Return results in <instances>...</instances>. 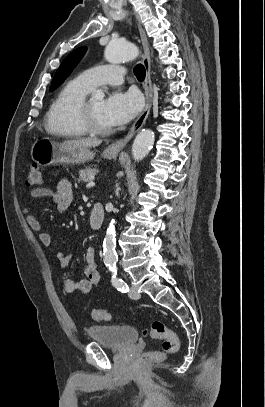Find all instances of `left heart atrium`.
I'll use <instances>...</instances> for the list:
<instances>
[{"label":"left heart atrium","mask_w":265,"mask_h":407,"mask_svg":"<svg viewBox=\"0 0 265 407\" xmlns=\"http://www.w3.org/2000/svg\"><path fill=\"white\" fill-rule=\"evenodd\" d=\"M142 100L134 91L112 93L104 102V116L111 126L123 125L140 111Z\"/></svg>","instance_id":"39dd6f15"}]
</instances>
